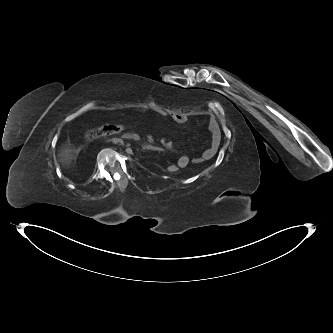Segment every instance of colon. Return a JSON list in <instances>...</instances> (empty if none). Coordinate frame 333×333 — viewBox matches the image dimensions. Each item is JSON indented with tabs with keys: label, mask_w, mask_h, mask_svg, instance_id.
<instances>
[{
	"label": "colon",
	"mask_w": 333,
	"mask_h": 333,
	"mask_svg": "<svg viewBox=\"0 0 333 333\" xmlns=\"http://www.w3.org/2000/svg\"><path fill=\"white\" fill-rule=\"evenodd\" d=\"M125 128L126 129H131L132 128V123L131 122H126L125 123ZM123 130V125L121 124H107V125H103L100 126L94 130H92L91 132H89L86 136L87 140H93L99 137H103V136H110V135H114L116 133H119L120 131ZM165 169L168 172L174 173V172H183V167L181 166H176L174 164L168 163L165 166Z\"/></svg>",
	"instance_id": "colon-1"
}]
</instances>
